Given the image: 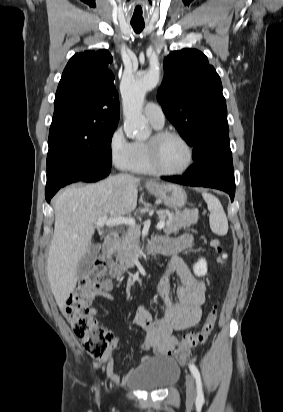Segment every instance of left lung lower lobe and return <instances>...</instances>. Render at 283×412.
<instances>
[{"label":"left lung lower lobe","mask_w":283,"mask_h":412,"mask_svg":"<svg viewBox=\"0 0 283 412\" xmlns=\"http://www.w3.org/2000/svg\"><path fill=\"white\" fill-rule=\"evenodd\" d=\"M182 176H163L162 179L189 186H203L223 190L230 195L231 201L235 195L234 170L231 161L222 154L201 153Z\"/></svg>","instance_id":"0a47b994"}]
</instances>
